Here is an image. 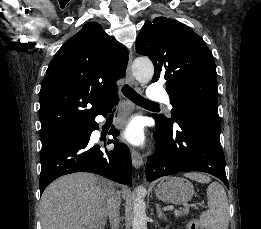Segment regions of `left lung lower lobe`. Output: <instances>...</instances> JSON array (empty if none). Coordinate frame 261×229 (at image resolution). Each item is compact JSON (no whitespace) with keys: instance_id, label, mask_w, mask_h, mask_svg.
<instances>
[{"instance_id":"left-lung-lower-lobe-1","label":"left lung lower lobe","mask_w":261,"mask_h":229,"mask_svg":"<svg viewBox=\"0 0 261 229\" xmlns=\"http://www.w3.org/2000/svg\"><path fill=\"white\" fill-rule=\"evenodd\" d=\"M154 137L156 153L148 157L146 178L153 181L159 177L178 172L203 171L225 179V157L220 144L219 118L200 111H189L177 122V129L164 125L158 115Z\"/></svg>"}]
</instances>
